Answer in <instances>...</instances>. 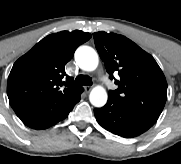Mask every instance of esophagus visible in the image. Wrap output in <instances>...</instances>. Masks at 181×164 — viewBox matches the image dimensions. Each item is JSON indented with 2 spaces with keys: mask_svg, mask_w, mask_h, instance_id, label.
<instances>
[{
  "mask_svg": "<svg viewBox=\"0 0 181 164\" xmlns=\"http://www.w3.org/2000/svg\"><path fill=\"white\" fill-rule=\"evenodd\" d=\"M92 87L91 86H85L84 90L86 93H89L91 91Z\"/></svg>",
  "mask_w": 181,
  "mask_h": 164,
  "instance_id": "34e87169",
  "label": "esophagus"
}]
</instances>
